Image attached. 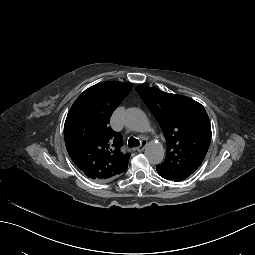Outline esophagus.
Masks as SVG:
<instances>
[{
    "mask_svg": "<svg viewBox=\"0 0 255 255\" xmlns=\"http://www.w3.org/2000/svg\"><path fill=\"white\" fill-rule=\"evenodd\" d=\"M145 146H146L145 142L141 143V146L136 148L137 152H142L144 150Z\"/></svg>",
    "mask_w": 255,
    "mask_h": 255,
    "instance_id": "obj_1",
    "label": "esophagus"
}]
</instances>
